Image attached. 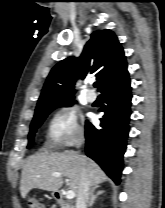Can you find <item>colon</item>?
<instances>
[{
	"mask_svg": "<svg viewBox=\"0 0 165 208\" xmlns=\"http://www.w3.org/2000/svg\"><path fill=\"white\" fill-rule=\"evenodd\" d=\"M29 208H43V205L36 199L29 201Z\"/></svg>",
	"mask_w": 165,
	"mask_h": 208,
	"instance_id": "colon-1",
	"label": "colon"
}]
</instances>
